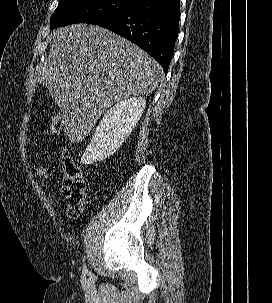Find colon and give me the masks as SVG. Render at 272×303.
Here are the masks:
<instances>
[{
    "label": "colon",
    "instance_id": "colon-1",
    "mask_svg": "<svg viewBox=\"0 0 272 303\" xmlns=\"http://www.w3.org/2000/svg\"><path fill=\"white\" fill-rule=\"evenodd\" d=\"M53 134L61 133V119L55 116L50 125ZM64 181L62 187L63 197L67 204L69 214L77 218L85 206L87 190L80 166L76 163L68 149H64L61 156ZM34 173L38 179L48 180L51 177L49 166L41 161L34 164Z\"/></svg>",
    "mask_w": 272,
    "mask_h": 303
}]
</instances>
